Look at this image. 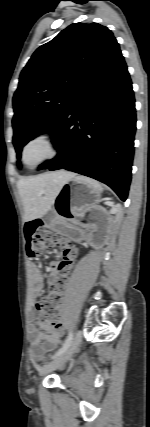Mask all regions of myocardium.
<instances>
[{"instance_id":"f54148a6","label":"myocardium","mask_w":150,"mask_h":427,"mask_svg":"<svg viewBox=\"0 0 150 427\" xmlns=\"http://www.w3.org/2000/svg\"><path fill=\"white\" fill-rule=\"evenodd\" d=\"M36 143H44L48 147L49 151L46 156H44L34 164L29 165L26 162V152L30 146ZM59 152L60 145L56 135L50 131H39L33 134L30 138H28L27 141L24 143L21 150L20 160L22 165L27 170H35L40 166L44 165L45 163L53 160L55 157L58 156Z\"/></svg>"}]
</instances>
